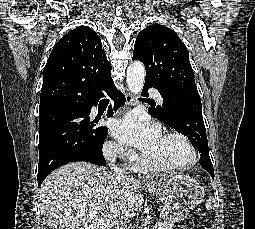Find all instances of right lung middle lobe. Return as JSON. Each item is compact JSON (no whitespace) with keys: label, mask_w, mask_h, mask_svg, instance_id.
Here are the masks:
<instances>
[{"label":"right lung middle lobe","mask_w":255,"mask_h":229,"mask_svg":"<svg viewBox=\"0 0 255 229\" xmlns=\"http://www.w3.org/2000/svg\"><path fill=\"white\" fill-rule=\"evenodd\" d=\"M88 116L76 109L39 116L38 173L50 172L69 162L103 157L106 129L91 122Z\"/></svg>","instance_id":"1"}]
</instances>
